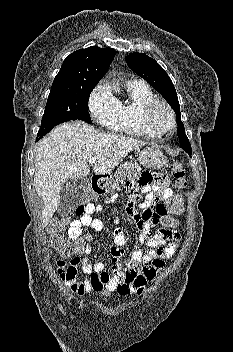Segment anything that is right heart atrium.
Wrapping results in <instances>:
<instances>
[{"label":"right heart atrium","instance_id":"obj_1","mask_svg":"<svg viewBox=\"0 0 233 352\" xmlns=\"http://www.w3.org/2000/svg\"><path fill=\"white\" fill-rule=\"evenodd\" d=\"M120 102L106 83L97 85L89 98V110L95 121L110 131H116Z\"/></svg>","mask_w":233,"mask_h":352}]
</instances>
